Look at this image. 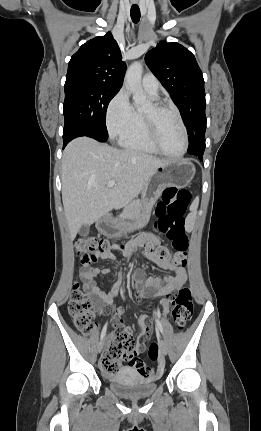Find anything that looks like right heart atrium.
I'll return each mask as SVG.
<instances>
[{
	"mask_svg": "<svg viewBox=\"0 0 261 431\" xmlns=\"http://www.w3.org/2000/svg\"><path fill=\"white\" fill-rule=\"evenodd\" d=\"M135 110L130 102L129 94L121 89L109 102L106 109V125L112 138L120 137L132 125Z\"/></svg>",
	"mask_w": 261,
	"mask_h": 431,
	"instance_id": "1",
	"label": "right heart atrium"
}]
</instances>
